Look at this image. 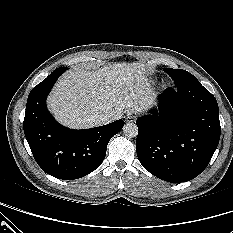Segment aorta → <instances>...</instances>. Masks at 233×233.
Here are the masks:
<instances>
[{
	"label": "aorta",
	"mask_w": 233,
	"mask_h": 233,
	"mask_svg": "<svg viewBox=\"0 0 233 233\" xmlns=\"http://www.w3.org/2000/svg\"><path fill=\"white\" fill-rule=\"evenodd\" d=\"M123 133L128 138H134L138 135V127L135 123H126L123 127Z\"/></svg>",
	"instance_id": "aorta-1"
}]
</instances>
